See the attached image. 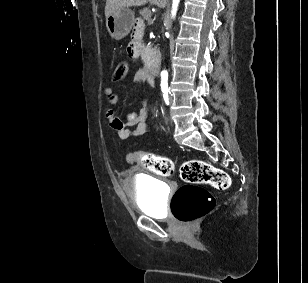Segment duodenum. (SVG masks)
<instances>
[{
  "mask_svg": "<svg viewBox=\"0 0 308 283\" xmlns=\"http://www.w3.org/2000/svg\"><path fill=\"white\" fill-rule=\"evenodd\" d=\"M145 49L142 52L143 60L149 62V68L152 69L160 62V54L150 44H147Z\"/></svg>",
  "mask_w": 308,
  "mask_h": 283,
  "instance_id": "duodenum-1",
  "label": "duodenum"
}]
</instances>
